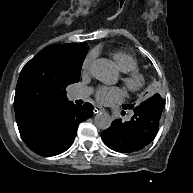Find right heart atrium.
<instances>
[{
	"label": "right heart atrium",
	"instance_id": "right-heart-atrium-1",
	"mask_svg": "<svg viewBox=\"0 0 193 193\" xmlns=\"http://www.w3.org/2000/svg\"><path fill=\"white\" fill-rule=\"evenodd\" d=\"M89 64H90V58H87V59L84 61L83 65H82V71H83V72H85V71L88 70Z\"/></svg>",
	"mask_w": 193,
	"mask_h": 193
}]
</instances>
